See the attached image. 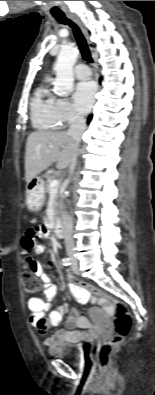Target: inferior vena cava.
<instances>
[{"instance_id":"1","label":"inferior vena cava","mask_w":155,"mask_h":395,"mask_svg":"<svg viewBox=\"0 0 155 395\" xmlns=\"http://www.w3.org/2000/svg\"><path fill=\"white\" fill-rule=\"evenodd\" d=\"M85 129H86L85 118L78 115V114L74 115L70 120V127H69L67 133L75 141L76 150H77L79 143L81 142V137H82V134L84 133ZM75 166H76V151H75V153L71 159V162H70V167H69L70 174L73 173ZM65 182H66V184H68L69 179H67ZM63 229H64L65 247H66L67 253L69 255H72L73 250H74V241H73V237H72L73 218L68 214L65 215Z\"/></svg>"}]
</instances>
